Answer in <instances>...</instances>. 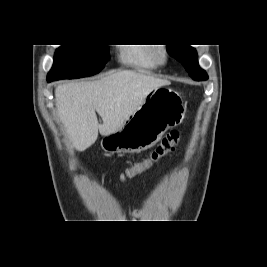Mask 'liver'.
I'll return each mask as SVG.
<instances>
[{"mask_svg": "<svg viewBox=\"0 0 267 267\" xmlns=\"http://www.w3.org/2000/svg\"><path fill=\"white\" fill-rule=\"evenodd\" d=\"M170 81L132 70L95 81L63 83L55 89L56 108L72 146L84 151L101 135L117 132L153 90ZM96 112L102 118L99 124Z\"/></svg>", "mask_w": 267, "mask_h": 267, "instance_id": "6515ba94", "label": "liver"}]
</instances>
